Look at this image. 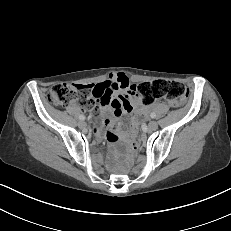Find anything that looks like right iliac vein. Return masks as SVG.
<instances>
[{
  "label": "right iliac vein",
  "instance_id": "right-iliac-vein-1",
  "mask_svg": "<svg viewBox=\"0 0 231 231\" xmlns=\"http://www.w3.org/2000/svg\"><path fill=\"white\" fill-rule=\"evenodd\" d=\"M78 126H79V128L83 129V128H85V127L87 126V124H86V122H84V121H80V122L78 123Z\"/></svg>",
  "mask_w": 231,
  "mask_h": 231
}]
</instances>
